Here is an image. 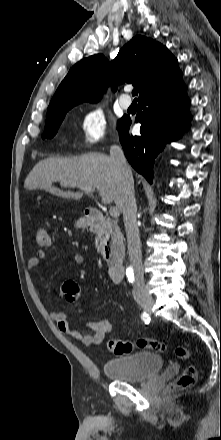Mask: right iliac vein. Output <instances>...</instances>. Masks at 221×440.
I'll return each instance as SVG.
<instances>
[{
    "label": "right iliac vein",
    "mask_w": 221,
    "mask_h": 440,
    "mask_svg": "<svg viewBox=\"0 0 221 440\" xmlns=\"http://www.w3.org/2000/svg\"><path fill=\"white\" fill-rule=\"evenodd\" d=\"M153 303L154 301L151 297L139 301L140 306L148 313H151Z\"/></svg>",
    "instance_id": "right-iliac-vein-1"
}]
</instances>
